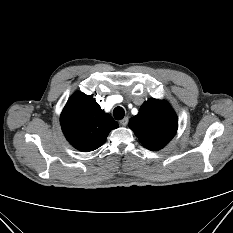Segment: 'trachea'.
I'll list each match as a JSON object with an SVG mask.
<instances>
[{"label":"trachea","instance_id":"1","mask_svg":"<svg viewBox=\"0 0 233 233\" xmlns=\"http://www.w3.org/2000/svg\"><path fill=\"white\" fill-rule=\"evenodd\" d=\"M113 115L116 120H121L125 115V111L122 107H116L113 111Z\"/></svg>","mask_w":233,"mask_h":233}]
</instances>
